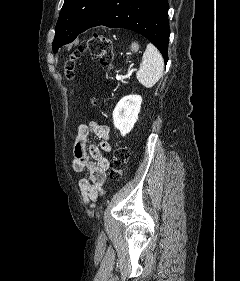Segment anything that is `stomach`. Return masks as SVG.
Wrapping results in <instances>:
<instances>
[{
  "instance_id": "obj_1",
  "label": "stomach",
  "mask_w": 240,
  "mask_h": 281,
  "mask_svg": "<svg viewBox=\"0 0 240 281\" xmlns=\"http://www.w3.org/2000/svg\"><path fill=\"white\" fill-rule=\"evenodd\" d=\"M130 49H131V51H132V52H136V51H138V49H139V45H138V43L133 42V43L131 44Z\"/></svg>"
}]
</instances>
